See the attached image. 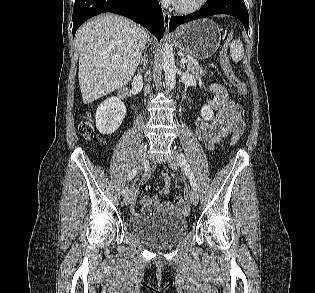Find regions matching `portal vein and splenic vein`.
Wrapping results in <instances>:
<instances>
[{
    "label": "portal vein and splenic vein",
    "mask_w": 315,
    "mask_h": 293,
    "mask_svg": "<svg viewBox=\"0 0 315 293\" xmlns=\"http://www.w3.org/2000/svg\"><path fill=\"white\" fill-rule=\"evenodd\" d=\"M187 61H188L187 58H182V59H181V62H182V63H187Z\"/></svg>",
    "instance_id": "1"
}]
</instances>
